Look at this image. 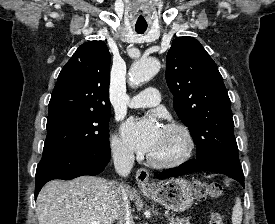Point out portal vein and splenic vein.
Returning a JSON list of instances; mask_svg holds the SVG:
<instances>
[{
    "label": "portal vein and splenic vein",
    "mask_w": 275,
    "mask_h": 224,
    "mask_svg": "<svg viewBox=\"0 0 275 224\" xmlns=\"http://www.w3.org/2000/svg\"><path fill=\"white\" fill-rule=\"evenodd\" d=\"M92 224H99L98 222H93Z\"/></svg>",
    "instance_id": "obj_1"
}]
</instances>
